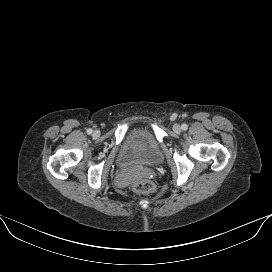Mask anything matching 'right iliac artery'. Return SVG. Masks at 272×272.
<instances>
[{
    "label": "right iliac artery",
    "mask_w": 272,
    "mask_h": 272,
    "mask_svg": "<svg viewBox=\"0 0 272 272\" xmlns=\"http://www.w3.org/2000/svg\"><path fill=\"white\" fill-rule=\"evenodd\" d=\"M92 132H93L92 129L87 130V134H91Z\"/></svg>",
    "instance_id": "82829eb1"
}]
</instances>
